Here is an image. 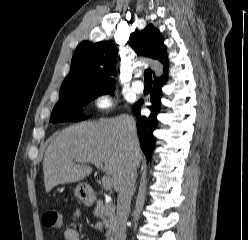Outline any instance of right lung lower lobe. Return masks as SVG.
<instances>
[{"label":"right lung lower lobe","instance_id":"obj_1","mask_svg":"<svg viewBox=\"0 0 248 240\" xmlns=\"http://www.w3.org/2000/svg\"><path fill=\"white\" fill-rule=\"evenodd\" d=\"M166 80L167 75L161 76L154 81L150 99L152 105L148 107L151 110V114L148 117L141 116L140 114V106L143 101H138L133 107V112L137 117V131L140 139V146L147 160L150 159L151 153L155 148V137L153 136V131L157 127V115L161 109V88L166 83Z\"/></svg>","mask_w":248,"mask_h":240}]
</instances>
